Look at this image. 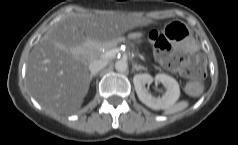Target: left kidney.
<instances>
[{"label":"left kidney","instance_id":"left-kidney-1","mask_svg":"<svg viewBox=\"0 0 238 145\" xmlns=\"http://www.w3.org/2000/svg\"><path fill=\"white\" fill-rule=\"evenodd\" d=\"M155 82H160L166 88V92L161 97L152 96L145 85L151 83L153 78L151 75L137 74L133 78L134 87L139 100L154 110L167 109L172 106L180 96V88L178 82L171 76L166 74H157L154 78Z\"/></svg>","mask_w":238,"mask_h":145}]
</instances>
